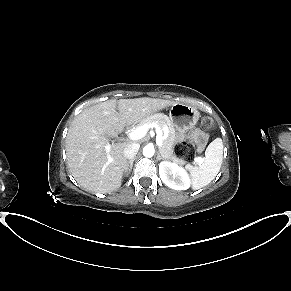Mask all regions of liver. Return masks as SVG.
I'll list each match as a JSON object with an SVG mask.
<instances>
[{"label": "liver", "mask_w": 291, "mask_h": 291, "mask_svg": "<svg viewBox=\"0 0 291 291\" xmlns=\"http://www.w3.org/2000/svg\"><path fill=\"white\" fill-rule=\"evenodd\" d=\"M175 103L147 97L112 99L83 110L73 120L66 137L67 167L77 183L98 193L118 189L128 171L123 151L129 143L110 144V138L117 137L126 125L137 124Z\"/></svg>", "instance_id": "obj_1"}]
</instances>
